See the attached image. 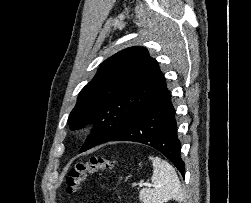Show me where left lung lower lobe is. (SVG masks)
Segmentation results:
<instances>
[{"label":"left lung lower lobe","mask_w":251,"mask_h":203,"mask_svg":"<svg viewBox=\"0 0 251 203\" xmlns=\"http://www.w3.org/2000/svg\"><path fill=\"white\" fill-rule=\"evenodd\" d=\"M108 141H133L151 146L165 155L184 176L175 109L166 83L154 100Z\"/></svg>","instance_id":"0a47b994"}]
</instances>
